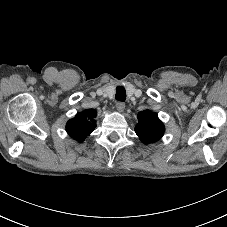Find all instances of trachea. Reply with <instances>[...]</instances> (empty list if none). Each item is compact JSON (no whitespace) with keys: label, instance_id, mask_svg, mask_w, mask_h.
Returning <instances> with one entry per match:
<instances>
[{"label":"trachea","instance_id":"1","mask_svg":"<svg viewBox=\"0 0 227 227\" xmlns=\"http://www.w3.org/2000/svg\"><path fill=\"white\" fill-rule=\"evenodd\" d=\"M115 99L118 100V101H125V99H126V90H125L124 87L118 86L116 88Z\"/></svg>","mask_w":227,"mask_h":227}]
</instances>
